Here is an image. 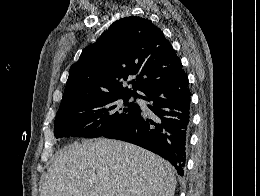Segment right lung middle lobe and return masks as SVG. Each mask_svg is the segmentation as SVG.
<instances>
[{
    "instance_id": "dd1d6c3e",
    "label": "right lung middle lobe",
    "mask_w": 260,
    "mask_h": 196,
    "mask_svg": "<svg viewBox=\"0 0 260 196\" xmlns=\"http://www.w3.org/2000/svg\"><path fill=\"white\" fill-rule=\"evenodd\" d=\"M130 96L97 94L58 110L55 137H100L137 120L140 110L137 104L128 103Z\"/></svg>"
}]
</instances>
